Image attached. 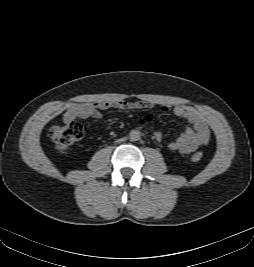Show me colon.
<instances>
[{
  "mask_svg": "<svg viewBox=\"0 0 254 267\" xmlns=\"http://www.w3.org/2000/svg\"><path fill=\"white\" fill-rule=\"evenodd\" d=\"M49 136L59 152H66L82 138L83 128L76 122L65 125L57 124L50 127ZM202 158L203 154L201 152H196L191 156V161L197 163L200 162Z\"/></svg>",
  "mask_w": 254,
  "mask_h": 267,
  "instance_id": "1",
  "label": "colon"
}]
</instances>
